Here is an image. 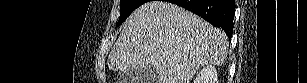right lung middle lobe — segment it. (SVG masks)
<instances>
[{
  "mask_svg": "<svg viewBox=\"0 0 307 83\" xmlns=\"http://www.w3.org/2000/svg\"><path fill=\"white\" fill-rule=\"evenodd\" d=\"M149 0H120V17L117 25H120L136 8Z\"/></svg>",
  "mask_w": 307,
  "mask_h": 83,
  "instance_id": "obj_1",
  "label": "right lung middle lobe"
}]
</instances>
